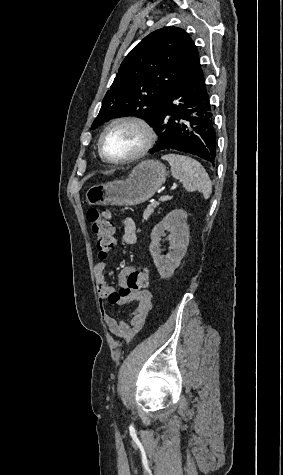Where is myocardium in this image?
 <instances>
[{
	"mask_svg": "<svg viewBox=\"0 0 283 475\" xmlns=\"http://www.w3.org/2000/svg\"><path fill=\"white\" fill-rule=\"evenodd\" d=\"M123 123L134 124L141 127L145 133V139L143 143L140 145V147L132 154L124 156V157H120V158H110L105 154L103 150V139L112 128ZM155 136L156 134H155L154 127L146 119L139 116H133V115L121 116L112 120L110 123H108L106 127L103 129V131L101 132L98 139V152H99L100 157L105 162H128V163L136 162L140 160L141 158H143L152 148L153 143L155 141Z\"/></svg>",
	"mask_w": 283,
	"mask_h": 475,
	"instance_id": "myocardium-1",
	"label": "myocardium"
}]
</instances>
